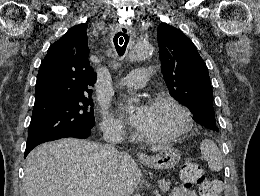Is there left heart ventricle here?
I'll use <instances>...</instances> for the list:
<instances>
[{"label":"left heart ventricle","instance_id":"left-heart-ventricle-1","mask_svg":"<svg viewBox=\"0 0 260 196\" xmlns=\"http://www.w3.org/2000/svg\"><path fill=\"white\" fill-rule=\"evenodd\" d=\"M183 122L184 116L176 107L169 104H150L143 131L146 134L162 135L178 130Z\"/></svg>","mask_w":260,"mask_h":196}]
</instances>
